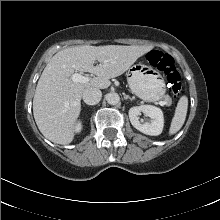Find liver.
<instances>
[{"mask_svg":"<svg viewBox=\"0 0 220 220\" xmlns=\"http://www.w3.org/2000/svg\"><path fill=\"white\" fill-rule=\"evenodd\" d=\"M152 46H75L56 53L43 70L33 99V115L40 132L50 141H73L87 88L106 89L111 78L122 75ZM99 64L94 65L95 61ZM75 71L96 75L86 84L73 82Z\"/></svg>","mask_w":220,"mask_h":220,"instance_id":"6515ba94","label":"liver"}]
</instances>
